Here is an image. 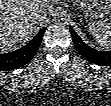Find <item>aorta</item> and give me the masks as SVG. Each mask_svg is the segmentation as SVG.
<instances>
[{
    "mask_svg": "<svg viewBox=\"0 0 111 106\" xmlns=\"http://www.w3.org/2000/svg\"><path fill=\"white\" fill-rule=\"evenodd\" d=\"M58 22L59 23H61V24H63V25H65L67 22H66V18L64 17V16H60L59 18H58Z\"/></svg>",
    "mask_w": 111,
    "mask_h": 106,
    "instance_id": "1",
    "label": "aorta"
}]
</instances>
